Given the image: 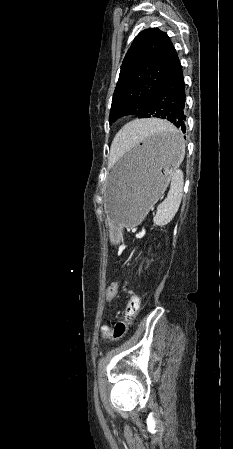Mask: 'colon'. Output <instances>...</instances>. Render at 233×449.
Here are the masks:
<instances>
[{
    "mask_svg": "<svg viewBox=\"0 0 233 449\" xmlns=\"http://www.w3.org/2000/svg\"><path fill=\"white\" fill-rule=\"evenodd\" d=\"M121 283H122L121 278L116 277L108 285L105 292L107 300L109 302H111L115 298V296L119 294ZM139 309H140V298L135 292L130 291L123 320L118 321L112 330L105 329L104 335L113 340L122 339L127 333L129 326L136 318Z\"/></svg>",
    "mask_w": 233,
    "mask_h": 449,
    "instance_id": "obj_1",
    "label": "colon"
}]
</instances>
